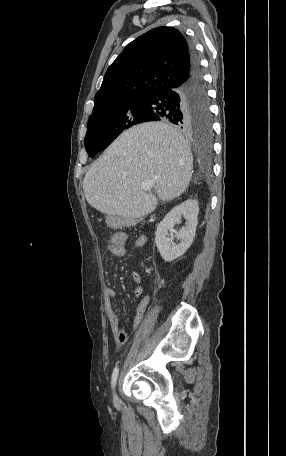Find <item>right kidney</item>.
<instances>
[{
	"instance_id": "right-kidney-1",
	"label": "right kidney",
	"mask_w": 286,
	"mask_h": 456,
	"mask_svg": "<svg viewBox=\"0 0 286 456\" xmlns=\"http://www.w3.org/2000/svg\"><path fill=\"white\" fill-rule=\"evenodd\" d=\"M198 213V202L188 199L174 207L157 226L155 244L164 261L171 262L177 259L191 246L198 224ZM182 216L186 220L185 227H182L176 234L180 240V243L176 245L172 241V229L175 224L181 223Z\"/></svg>"
}]
</instances>
